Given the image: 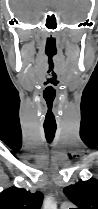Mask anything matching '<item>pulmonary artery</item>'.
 <instances>
[{
  "instance_id": "pulmonary-artery-1",
  "label": "pulmonary artery",
  "mask_w": 98,
  "mask_h": 209,
  "mask_svg": "<svg viewBox=\"0 0 98 209\" xmlns=\"http://www.w3.org/2000/svg\"><path fill=\"white\" fill-rule=\"evenodd\" d=\"M61 209H69V203H63Z\"/></svg>"
}]
</instances>
